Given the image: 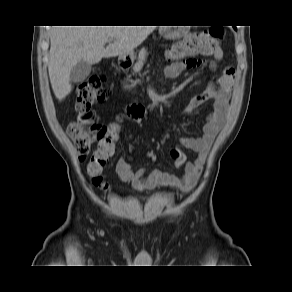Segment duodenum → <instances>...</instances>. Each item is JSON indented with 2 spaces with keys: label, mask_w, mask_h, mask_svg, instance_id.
Instances as JSON below:
<instances>
[{
  "label": "duodenum",
  "mask_w": 292,
  "mask_h": 292,
  "mask_svg": "<svg viewBox=\"0 0 292 292\" xmlns=\"http://www.w3.org/2000/svg\"><path fill=\"white\" fill-rule=\"evenodd\" d=\"M133 111H135V112L138 113V114L142 113V110H141L139 107H135V108L133 109Z\"/></svg>",
  "instance_id": "410a0bca"
}]
</instances>
